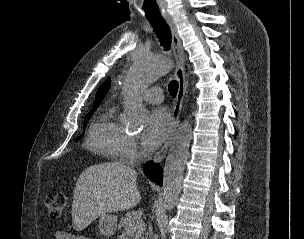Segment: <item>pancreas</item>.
Wrapping results in <instances>:
<instances>
[{
  "label": "pancreas",
  "mask_w": 304,
  "mask_h": 239,
  "mask_svg": "<svg viewBox=\"0 0 304 239\" xmlns=\"http://www.w3.org/2000/svg\"><path fill=\"white\" fill-rule=\"evenodd\" d=\"M122 228L129 232L130 239H147L146 227L138 212H127L120 220L119 229Z\"/></svg>",
  "instance_id": "1"
}]
</instances>
